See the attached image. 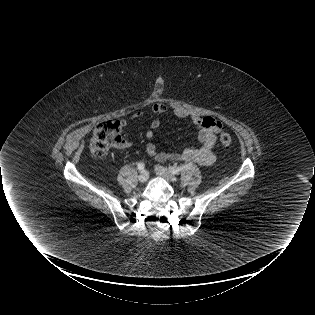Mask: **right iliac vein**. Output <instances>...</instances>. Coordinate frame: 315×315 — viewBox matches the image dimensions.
Listing matches in <instances>:
<instances>
[{
    "label": "right iliac vein",
    "instance_id": "obj_1",
    "mask_svg": "<svg viewBox=\"0 0 315 315\" xmlns=\"http://www.w3.org/2000/svg\"><path fill=\"white\" fill-rule=\"evenodd\" d=\"M148 178H149V172L146 170H142L139 177H138L139 181L142 183L147 181Z\"/></svg>",
    "mask_w": 315,
    "mask_h": 315
}]
</instances>
